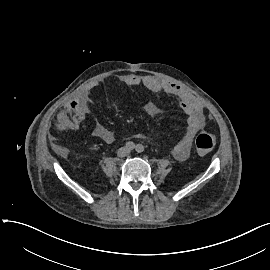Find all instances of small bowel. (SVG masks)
Listing matches in <instances>:
<instances>
[{
	"mask_svg": "<svg viewBox=\"0 0 270 270\" xmlns=\"http://www.w3.org/2000/svg\"><path fill=\"white\" fill-rule=\"evenodd\" d=\"M119 82L124 87L143 86L155 95H169L177 99L181 109L187 115V125L181 138L173 147L172 154L177 160H185L189 155L195 135L204 128L207 122V116L201 103L179 85L156 76L129 74L121 76ZM97 85V83H91L76 99L68 102L66 109L72 118H65L63 128L68 130L80 128L87 111L89 92ZM144 109L150 116H157L161 112L160 108L154 103L146 104ZM93 135L106 143H112L116 138L112 130L99 123L95 125Z\"/></svg>",
	"mask_w": 270,
	"mask_h": 270,
	"instance_id": "obj_1",
	"label": "small bowel"
}]
</instances>
